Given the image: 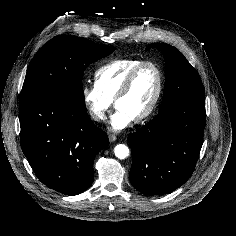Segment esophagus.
<instances>
[{"instance_id": "obj_1", "label": "esophagus", "mask_w": 236, "mask_h": 236, "mask_svg": "<svg viewBox=\"0 0 236 236\" xmlns=\"http://www.w3.org/2000/svg\"><path fill=\"white\" fill-rule=\"evenodd\" d=\"M108 138L110 142H114L117 139V137L114 134H109Z\"/></svg>"}]
</instances>
